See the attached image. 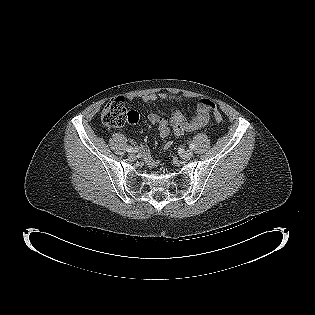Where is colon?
I'll list each match as a JSON object with an SVG mask.
<instances>
[{
    "instance_id": "obj_1",
    "label": "colon",
    "mask_w": 315,
    "mask_h": 315,
    "mask_svg": "<svg viewBox=\"0 0 315 315\" xmlns=\"http://www.w3.org/2000/svg\"><path fill=\"white\" fill-rule=\"evenodd\" d=\"M211 112L213 119L221 123L223 117L216 106L209 100H201ZM103 123L111 128H119L126 123H135L138 120V114L135 111H128L123 98H115L111 100L103 110Z\"/></svg>"
}]
</instances>
